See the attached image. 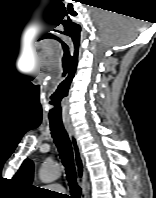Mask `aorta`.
I'll return each instance as SVG.
<instances>
[{
    "mask_svg": "<svg viewBox=\"0 0 156 198\" xmlns=\"http://www.w3.org/2000/svg\"><path fill=\"white\" fill-rule=\"evenodd\" d=\"M61 167L58 164L44 163L39 171V178L43 183H51L61 175Z\"/></svg>",
    "mask_w": 156,
    "mask_h": 198,
    "instance_id": "obj_1",
    "label": "aorta"
}]
</instances>
